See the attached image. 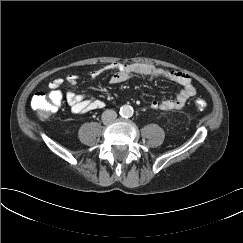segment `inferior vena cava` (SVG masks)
<instances>
[{"label":"inferior vena cava","instance_id":"602c4592","mask_svg":"<svg viewBox=\"0 0 243 243\" xmlns=\"http://www.w3.org/2000/svg\"><path fill=\"white\" fill-rule=\"evenodd\" d=\"M116 118H117V113L112 109L106 110L102 114V121L104 123L113 122Z\"/></svg>","mask_w":243,"mask_h":243}]
</instances>
